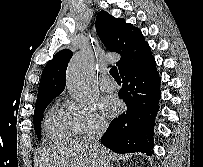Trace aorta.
<instances>
[{
    "mask_svg": "<svg viewBox=\"0 0 203 167\" xmlns=\"http://www.w3.org/2000/svg\"><path fill=\"white\" fill-rule=\"evenodd\" d=\"M94 69L93 56L87 51L77 53L67 68L66 86L77 101L83 102L91 96V80Z\"/></svg>",
    "mask_w": 203,
    "mask_h": 167,
    "instance_id": "aorta-1",
    "label": "aorta"
}]
</instances>
